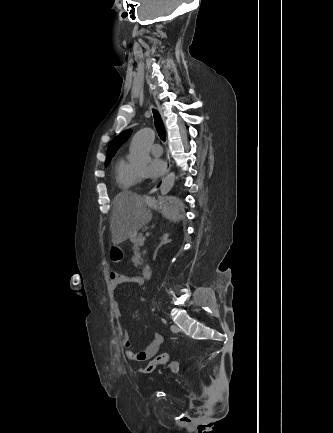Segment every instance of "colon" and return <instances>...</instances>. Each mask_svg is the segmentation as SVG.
Wrapping results in <instances>:
<instances>
[{
	"label": "colon",
	"instance_id": "obj_1",
	"mask_svg": "<svg viewBox=\"0 0 333 433\" xmlns=\"http://www.w3.org/2000/svg\"><path fill=\"white\" fill-rule=\"evenodd\" d=\"M110 257H111V263L113 265H122L123 263V247L121 244H112L110 247ZM162 364H169L170 366L173 365L171 362L170 356L166 353L159 354L155 358H153L150 363L141 369L142 373H152L156 370V368L159 365Z\"/></svg>",
	"mask_w": 333,
	"mask_h": 433
}]
</instances>
